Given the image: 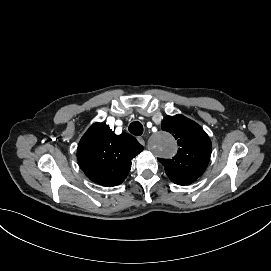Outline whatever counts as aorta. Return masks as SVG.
<instances>
[{
  "instance_id": "1",
  "label": "aorta",
  "mask_w": 271,
  "mask_h": 271,
  "mask_svg": "<svg viewBox=\"0 0 271 271\" xmlns=\"http://www.w3.org/2000/svg\"><path fill=\"white\" fill-rule=\"evenodd\" d=\"M151 148L154 153L162 157H170L176 152V141L166 133L159 132L151 139Z\"/></svg>"
}]
</instances>
